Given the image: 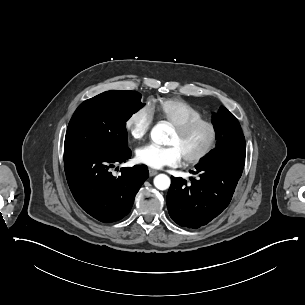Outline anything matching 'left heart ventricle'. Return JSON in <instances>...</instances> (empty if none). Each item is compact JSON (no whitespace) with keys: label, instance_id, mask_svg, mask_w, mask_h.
<instances>
[{"label":"left heart ventricle","instance_id":"1","mask_svg":"<svg viewBox=\"0 0 305 305\" xmlns=\"http://www.w3.org/2000/svg\"><path fill=\"white\" fill-rule=\"evenodd\" d=\"M210 139L211 131L207 126H199L185 134L179 133L173 128L167 143L175 145L184 158L199 153Z\"/></svg>","mask_w":305,"mask_h":305}]
</instances>
